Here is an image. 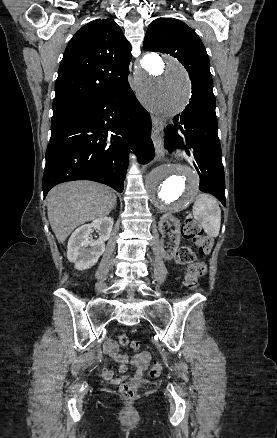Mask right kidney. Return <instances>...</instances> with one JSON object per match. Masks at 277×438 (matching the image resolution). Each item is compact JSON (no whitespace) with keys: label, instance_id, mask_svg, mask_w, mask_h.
Wrapping results in <instances>:
<instances>
[{"label":"right kidney","instance_id":"1","mask_svg":"<svg viewBox=\"0 0 277 438\" xmlns=\"http://www.w3.org/2000/svg\"><path fill=\"white\" fill-rule=\"evenodd\" d=\"M113 218H97L92 224H84L73 232L67 246V258L75 264V270H87L97 264L100 256L105 252V242L109 240L113 228ZM96 228L98 240L90 242L89 236Z\"/></svg>","mask_w":277,"mask_h":438}]
</instances>
